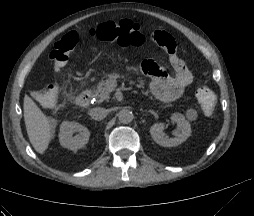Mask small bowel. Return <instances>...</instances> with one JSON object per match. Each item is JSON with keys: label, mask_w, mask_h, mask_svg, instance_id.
<instances>
[{"label": "small bowel", "mask_w": 254, "mask_h": 216, "mask_svg": "<svg viewBox=\"0 0 254 216\" xmlns=\"http://www.w3.org/2000/svg\"><path fill=\"white\" fill-rule=\"evenodd\" d=\"M148 43L154 49L163 52L164 58L168 61L171 69L175 71V74H171L151 60L142 61L139 68L150 77V91L156 98L164 102L177 100L193 81L191 71L177 54L176 42L166 30H154L148 38Z\"/></svg>", "instance_id": "1"}]
</instances>
